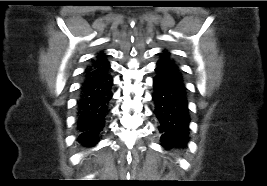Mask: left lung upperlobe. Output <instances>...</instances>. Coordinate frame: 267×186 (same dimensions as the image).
I'll return each mask as SVG.
<instances>
[{
	"label": "left lung upper lobe",
	"mask_w": 267,
	"mask_h": 186,
	"mask_svg": "<svg viewBox=\"0 0 267 186\" xmlns=\"http://www.w3.org/2000/svg\"><path fill=\"white\" fill-rule=\"evenodd\" d=\"M161 54H163V55L169 57V53H168L167 51H163V53H161Z\"/></svg>",
	"instance_id": "5c2ea615"
}]
</instances>
